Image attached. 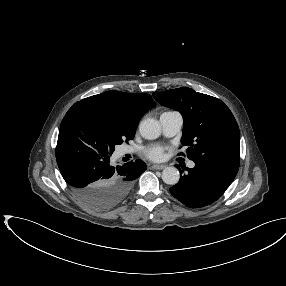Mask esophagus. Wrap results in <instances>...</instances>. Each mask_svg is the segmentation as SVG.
Segmentation results:
<instances>
[{
  "label": "esophagus",
  "instance_id": "1",
  "mask_svg": "<svg viewBox=\"0 0 286 286\" xmlns=\"http://www.w3.org/2000/svg\"><path fill=\"white\" fill-rule=\"evenodd\" d=\"M166 167V165H151L150 168L151 169H156V170H161L164 169Z\"/></svg>",
  "mask_w": 286,
  "mask_h": 286
}]
</instances>
